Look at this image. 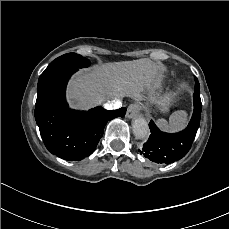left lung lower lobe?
Wrapping results in <instances>:
<instances>
[{"instance_id":"left-lung-lower-lobe-1","label":"left lung lower lobe","mask_w":229,"mask_h":229,"mask_svg":"<svg viewBox=\"0 0 229 229\" xmlns=\"http://www.w3.org/2000/svg\"><path fill=\"white\" fill-rule=\"evenodd\" d=\"M194 78V111L188 126L178 133L170 134L160 131L153 121L149 123L151 135L139 152L153 162L170 164L183 158L191 148L200 125L202 110L200 85L198 79Z\"/></svg>"}]
</instances>
